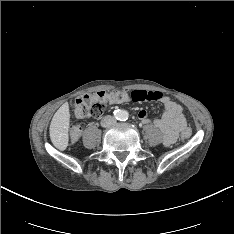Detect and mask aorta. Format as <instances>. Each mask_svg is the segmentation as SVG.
<instances>
[{"instance_id": "obj_1", "label": "aorta", "mask_w": 234, "mask_h": 234, "mask_svg": "<svg viewBox=\"0 0 234 234\" xmlns=\"http://www.w3.org/2000/svg\"><path fill=\"white\" fill-rule=\"evenodd\" d=\"M129 117V113L126 110H119L117 112V118L119 120H127Z\"/></svg>"}]
</instances>
